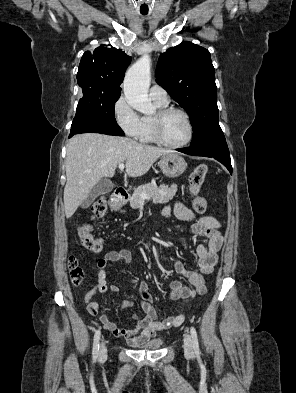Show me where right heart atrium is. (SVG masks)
<instances>
[{"instance_id":"obj_1","label":"right heart atrium","mask_w":296,"mask_h":393,"mask_svg":"<svg viewBox=\"0 0 296 393\" xmlns=\"http://www.w3.org/2000/svg\"><path fill=\"white\" fill-rule=\"evenodd\" d=\"M115 120L124 133L133 139H138L142 122L141 117L124 96H120L113 107Z\"/></svg>"}]
</instances>
